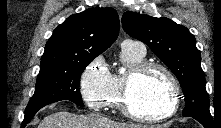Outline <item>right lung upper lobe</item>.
<instances>
[{
	"mask_svg": "<svg viewBox=\"0 0 221 128\" xmlns=\"http://www.w3.org/2000/svg\"><path fill=\"white\" fill-rule=\"evenodd\" d=\"M119 17L113 8H91L68 17L53 32L45 46L40 70L92 59L118 37Z\"/></svg>",
	"mask_w": 221,
	"mask_h": 128,
	"instance_id": "obj_1",
	"label": "right lung upper lobe"
}]
</instances>
